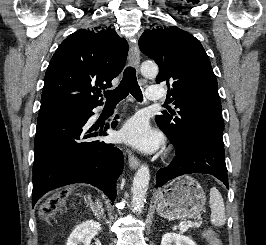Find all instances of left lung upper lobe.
I'll use <instances>...</instances> for the list:
<instances>
[{
	"instance_id": "1",
	"label": "left lung upper lobe",
	"mask_w": 266,
	"mask_h": 245,
	"mask_svg": "<svg viewBox=\"0 0 266 245\" xmlns=\"http://www.w3.org/2000/svg\"><path fill=\"white\" fill-rule=\"evenodd\" d=\"M139 48L159 66L156 83L172 86L170 102L178 110L164 111L155 118L168 139L180 145L191 130L223 134L217 79L199 40L170 26L146 30Z\"/></svg>"
}]
</instances>
